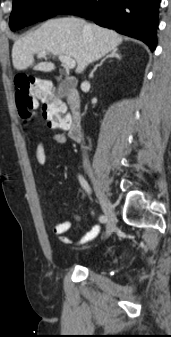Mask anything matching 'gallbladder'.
<instances>
[{
    "label": "gallbladder",
    "mask_w": 171,
    "mask_h": 337,
    "mask_svg": "<svg viewBox=\"0 0 171 337\" xmlns=\"http://www.w3.org/2000/svg\"><path fill=\"white\" fill-rule=\"evenodd\" d=\"M70 87V85L65 81L61 84L60 88H59V94L62 96L64 95L65 91L68 90V88Z\"/></svg>",
    "instance_id": "1"
}]
</instances>
